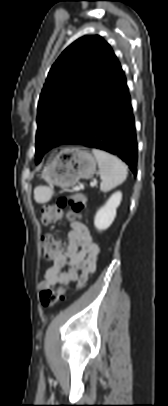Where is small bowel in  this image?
Instances as JSON below:
<instances>
[{
  "mask_svg": "<svg viewBox=\"0 0 168 406\" xmlns=\"http://www.w3.org/2000/svg\"><path fill=\"white\" fill-rule=\"evenodd\" d=\"M98 255L99 245L88 227L80 219L73 221L64 250L53 260L38 287L62 289L71 284L83 287L96 269Z\"/></svg>",
  "mask_w": 168,
  "mask_h": 406,
  "instance_id": "small-bowel-1",
  "label": "small bowel"
}]
</instances>
